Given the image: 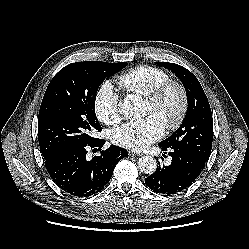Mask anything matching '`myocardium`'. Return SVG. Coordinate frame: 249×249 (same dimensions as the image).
I'll use <instances>...</instances> for the list:
<instances>
[{"label": "myocardium", "instance_id": "1", "mask_svg": "<svg viewBox=\"0 0 249 249\" xmlns=\"http://www.w3.org/2000/svg\"><path fill=\"white\" fill-rule=\"evenodd\" d=\"M170 91L176 93L177 105L172 117L166 122L165 128L168 131H174L180 127L188 110V94L184 85L177 80L168 79L144 97L153 108L159 109Z\"/></svg>", "mask_w": 249, "mask_h": 249}]
</instances>
